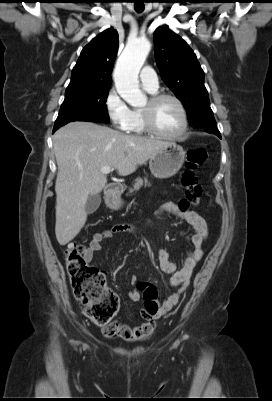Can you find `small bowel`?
Segmentation results:
<instances>
[{
	"label": "small bowel",
	"mask_w": 272,
	"mask_h": 401,
	"mask_svg": "<svg viewBox=\"0 0 272 401\" xmlns=\"http://www.w3.org/2000/svg\"><path fill=\"white\" fill-rule=\"evenodd\" d=\"M163 213H170L183 219L192 228L191 243L193 245V250L188 252L179 268L170 260L169 254L165 249H160L158 251L159 266L163 272L171 275L169 282L177 289L162 303L156 300L158 303V311L152 315L143 313L145 321L140 325L131 327L117 321L113 322L111 324V329L113 330L112 337L115 336L127 341H136L150 336L154 331V321L166 315L179 302L182 295L187 290L192 271L203 256L202 245L208 236L206 220L198 212L191 210L188 202L185 200H181L178 203H165L159 210V214ZM118 233L135 234L136 230L129 224H117L110 229L95 232L85 252L86 261L91 262L93 260L95 253L100 251L101 243L104 239L110 238ZM139 284L136 277L133 276L131 278V285L133 288L128 295L132 302H138L140 300L141 290L138 288Z\"/></svg>",
	"instance_id": "c3829d8e"
}]
</instances>
